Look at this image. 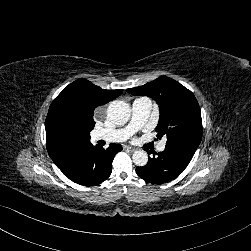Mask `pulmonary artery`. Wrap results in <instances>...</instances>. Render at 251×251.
Segmentation results:
<instances>
[{
	"instance_id": "e3ab8cb5",
	"label": "pulmonary artery",
	"mask_w": 251,
	"mask_h": 251,
	"mask_svg": "<svg viewBox=\"0 0 251 251\" xmlns=\"http://www.w3.org/2000/svg\"><path fill=\"white\" fill-rule=\"evenodd\" d=\"M152 110V102L148 98H139L132 103L131 126L125 129H115L106 131L103 138L110 142H123L129 136L132 128L136 130L144 129L146 120ZM167 147L166 141L156 143L158 151H163Z\"/></svg>"
}]
</instances>
